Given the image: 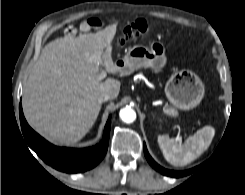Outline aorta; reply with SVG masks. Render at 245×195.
<instances>
[{"label": "aorta", "mask_w": 245, "mask_h": 195, "mask_svg": "<svg viewBox=\"0 0 245 195\" xmlns=\"http://www.w3.org/2000/svg\"><path fill=\"white\" fill-rule=\"evenodd\" d=\"M119 116L123 122L132 123L136 119V112L130 107H125L120 110Z\"/></svg>", "instance_id": "obj_1"}]
</instances>
